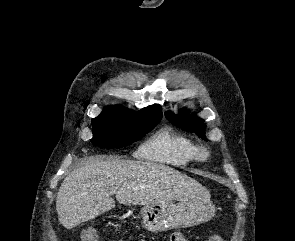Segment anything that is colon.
Returning a JSON list of instances; mask_svg holds the SVG:
<instances>
[{
    "instance_id": "1",
    "label": "colon",
    "mask_w": 295,
    "mask_h": 241,
    "mask_svg": "<svg viewBox=\"0 0 295 241\" xmlns=\"http://www.w3.org/2000/svg\"><path fill=\"white\" fill-rule=\"evenodd\" d=\"M84 241H97V231L95 229H88L84 233ZM170 241H186L184 236L180 233H174ZM209 241H224L221 237L215 236Z\"/></svg>"
}]
</instances>
